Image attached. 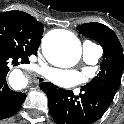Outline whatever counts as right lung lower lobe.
I'll return each instance as SVG.
<instances>
[{
	"label": "right lung lower lobe",
	"instance_id": "right-lung-lower-lobe-1",
	"mask_svg": "<svg viewBox=\"0 0 124 124\" xmlns=\"http://www.w3.org/2000/svg\"><path fill=\"white\" fill-rule=\"evenodd\" d=\"M19 63H29V60L27 57L0 50V120L10 117L18 111L26 98L25 93L12 91L6 82L10 67Z\"/></svg>",
	"mask_w": 124,
	"mask_h": 124
}]
</instances>
